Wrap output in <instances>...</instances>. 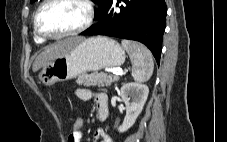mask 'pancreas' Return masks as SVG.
I'll list each match as a JSON object with an SVG mask.
<instances>
[{"label": "pancreas", "mask_w": 227, "mask_h": 142, "mask_svg": "<svg viewBox=\"0 0 227 142\" xmlns=\"http://www.w3.org/2000/svg\"><path fill=\"white\" fill-rule=\"evenodd\" d=\"M119 80L118 76H113L110 74H99V73H82L78 75L76 79V83L78 85L84 86H110L113 82H117Z\"/></svg>", "instance_id": "obj_1"}]
</instances>
